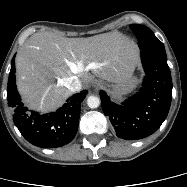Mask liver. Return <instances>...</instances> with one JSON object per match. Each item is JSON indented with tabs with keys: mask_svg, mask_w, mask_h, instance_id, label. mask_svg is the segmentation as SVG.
<instances>
[{
	"mask_svg": "<svg viewBox=\"0 0 187 187\" xmlns=\"http://www.w3.org/2000/svg\"><path fill=\"white\" fill-rule=\"evenodd\" d=\"M137 54L120 35L65 38L38 32L26 40L16 57L17 87L22 101L38 111H53L71 95L66 87L77 76L86 87L94 75L121 83L134 71Z\"/></svg>",
	"mask_w": 187,
	"mask_h": 187,
	"instance_id": "1",
	"label": "liver"
}]
</instances>
